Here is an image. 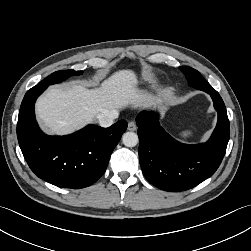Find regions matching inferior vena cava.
I'll list each match as a JSON object with an SVG mask.
<instances>
[{"label":"inferior vena cava","instance_id":"inferior-vena-cava-1","mask_svg":"<svg viewBox=\"0 0 251 251\" xmlns=\"http://www.w3.org/2000/svg\"><path fill=\"white\" fill-rule=\"evenodd\" d=\"M118 117L116 110H106L97 115L98 122L102 127H109L113 124L114 119Z\"/></svg>","mask_w":251,"mask_h":251}]
</instances>
